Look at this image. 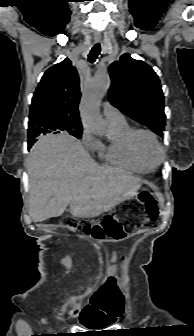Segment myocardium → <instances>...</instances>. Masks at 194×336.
<instances>
[{
  "label": "myocardium",
  "instance_id": "1",
  "mask_svg": "<svg viewBox=\"0 0 194 336\" xmlns=\"http://www.w3.org/2000/svg\"><path fill=\"white\" fill-rule=\"evenodd\" d=\"M142 134L148 135L149 137L152 138V140L154 141V143L157 146V149L159 151V158L156 162L154 163H150L148 161H146L140 154L139 149H138V137ZM128 143H129V147L130 150L133 154V156L135 157V159L140 162L141 164L154 169L156 168L158 165L161 164V162L164 159V149L163 146L157 136V134L155 132H153L150 129L147 128H134L131 130V132L129 133L128 136Z\"/></svg>",
  "mask_w": 194,
  "mask_h": 336
}]
</instances>
